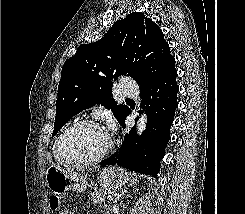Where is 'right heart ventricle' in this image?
Segmentation results:
<instances>
[{
    "label": "right heart ventricle",
    "mask_w": 245,
    "mask_h": 214,
    "mask_svg": "<svg viewBox=\"0 0 245 214\" xmlns=\"http://www.w3.org/2000/svg\"><path fill=\"white\" fill-rule=\"evenodd\" d=\"M57 140V139H56ZM56 142V141H55ZM54 146H55V143L53 145V153H54ZM55 155V154H54ZM56 158V157H55ZM58 161V160H57ZM60 162V161H59ZM61 163V162H60ZM63 164V163H62Z\"/></svg>",
    "instance_id": "obj_1"
}]
</instances>
